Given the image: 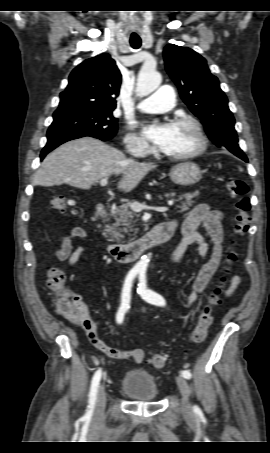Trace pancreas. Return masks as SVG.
<instances>
[{"mask_svg":"<svg viewBox=\"0 0 270 453\" xmlns=\"http://www.w3.org/2000/svg\"><path fill=\"white\" fill-rule=\"evenodd\" d=\"M175 196V193L171 194H166V197H173ZM198 194L195 193H184L179 196V201L181 202V206H178L180 210L187 211L189 207L195 203L193 198L197 197ZM131 203H125L119 207H116L113 210V219L114 222L111 225H107L106 229L104 230V236L107 238L108 241H115L118 240L119 238H124V235L122 233H129V232H135L136 229H133L134 223L136 220H134V213L130 211Z\"/></svg>","mask_w":270,"mask_h":453,"instance_id":"obj_1","label":"pancreas"}]
</instances>
